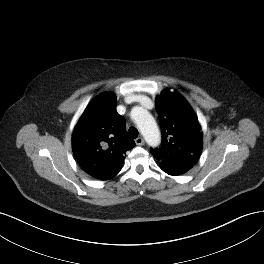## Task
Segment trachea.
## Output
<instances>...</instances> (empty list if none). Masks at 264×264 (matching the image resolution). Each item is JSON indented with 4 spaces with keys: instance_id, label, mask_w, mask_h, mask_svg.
I'll use <instances>...</instances> for the list:
<instances>
[{
    "instance_id": "1",
    "label": "trachea",
    "mask_w": 264,
    "mask_h": 264,
    "mask_svg": "<svg viewBox=\"0 0 264 264\" xmlns=\"http://www.w3.org/2000/svg\"><path fill=\"white\" fill-rule=\"evenodd\" d=\"M130 137L136 138L138 136V130L135 127H130L128 130Z\"/></svg>"
}]
</instances>
